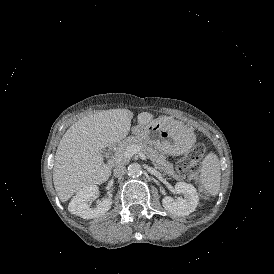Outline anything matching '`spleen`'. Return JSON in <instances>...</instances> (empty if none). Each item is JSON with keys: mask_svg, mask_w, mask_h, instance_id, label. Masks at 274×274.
Wrapping results in <instances>:
<instances>
[{"mask_svg": "<svg viewBox=\"0 0 274 274\" xmlns=\"http://www.w3.org/2000/svg\"><path fill=\"white\" fill-rule=\"evenodd\" d=\"M221 170L217 155L209 153L202 161L200 174L201 188L206 193L215 196L220 189Z\"/></svg>", "mask_w": 274, "mask_h": 274, "instance_id": "1", "label": "spleen"}]
</instances>
